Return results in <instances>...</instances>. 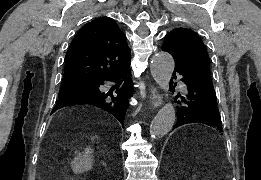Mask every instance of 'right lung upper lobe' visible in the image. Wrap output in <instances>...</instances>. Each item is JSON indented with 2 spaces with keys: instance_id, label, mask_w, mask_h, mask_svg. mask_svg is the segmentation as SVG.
I'll use <instances>...</instances> for the list:
<instances>
[{
  "instance_id": "obj_1",
  "label": "right lung upper lobe",
  "mask_w": 261,
  "mask_h": 180,
  "mask_svg": "<svg viewBox=\"0 0 261 180\" xmlns=\"http://www.w3.org/2000/svg\"><path fill=\"white\" fill-rule=\"evenodd\" d=\"M130 64L125 35L112 18L85 24L74 37L65 57L63 81H98Z\"/></svg>"
}]
</instances>
